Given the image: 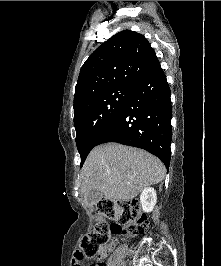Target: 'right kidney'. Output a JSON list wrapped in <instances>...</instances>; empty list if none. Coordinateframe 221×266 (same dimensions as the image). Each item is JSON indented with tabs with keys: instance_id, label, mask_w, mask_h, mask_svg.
Segmentation results:
<instances>
[{
	"instance_id": "obj_1",
	"label": "right kidney",
	"mask_w": 221,
	"mask_h": 266,
	"mask_svg": "<svg viewBox=\"0 0 221 266\" xmlns=\"http://www.w3.org/2000/svg\"><path fill=\"white\" fill-rule=\"evenodd\" d=\"M157 194L154 188H145L140 195V203L142 205L143 211L151 212L156 205Z\"/></svg>"
}]
</instances>
